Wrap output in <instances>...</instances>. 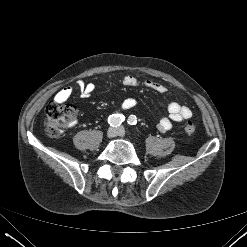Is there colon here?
<instances>
[{"mask_svg": "<svg viewBox=\"0 0 247 247\" xmlns=\"http://www.w3.org/2000/svg\"><path fill=\"white\" fill-rule=\"evenodd\" d=\"M45 112V131L48 136L57 137L70 125L75 116L76 109L71 104L50 102L46 106ZM195 129V125L191 121L184 126V132L188 136H191L195 132Z\"/></svg>", "mask_w": 247, "mask_h": 247, "instance_id": "1", "label": "colon"}]
</instances>
